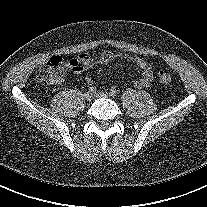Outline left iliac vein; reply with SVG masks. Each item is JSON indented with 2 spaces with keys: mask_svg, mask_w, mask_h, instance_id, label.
Masks as SVG:
<instances>
[{
  "mask_svg": "<svg viewBox=\"0 0 207 207\" xmlns=\"http://www.w3.org/2000/svg\"><path fill=\"white\" fill-rule=\"evenodd\" d=\"M94 96L98 98H111L112 97L110 93H104V92H98Z\"/></svg>",
  "mask_w": 207,
  "mask_h": 207,
  "instance_id": "left-iliac-vein-1",
  "label": "left iliac vein"
}]
</instances>
